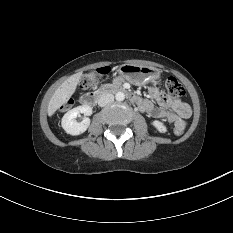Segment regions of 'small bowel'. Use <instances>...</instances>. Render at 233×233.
<instances>
[{
	"label": "small bowel",
	"mask_w": 233,
	"mask_h": 233,
	"mask_svg": "<svg viewBox=\"0 0 233 233\" xmlns=\"http://www.w3.org/2000/svg\"><path fill=\"white\" fill-rule=\"evenodd\" d=\"M113 82L116 85H121L124 82V77L121 74H116L113 77ZM147 87L151 89L150 95L156 100L157 104L155 105L149 99L139 98V102L137 103L139 108L153 118L168 121L184 130L186 120L191 115L190 106L179 99L169 98L163 92L159 91L155 88L156 82L154 80H149Z\"/></svg>",
	"instance_id": "c3829d8e"
}]
</instances>
